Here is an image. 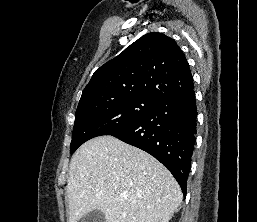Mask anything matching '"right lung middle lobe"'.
I'll use <instances>...</instances> for the list:
<instances>
[{"mask_svg": "<svg viewBox=\"0 0 257 222\" xmlns=\"http://www.w3.org/2000/svg\"><path fill=\"white\" fill-rule=\"evenodd\" d=\"M158 100L144 96L123 99L101 97L78 105L70 145V153L87 140L112 135L136 123L158 104Z\"/></svg>", "mask_w": 257, "mask_h": 222, "instance_id": "dd1d6c3e", "label": "right lung middle lobe"}]
</instances>
